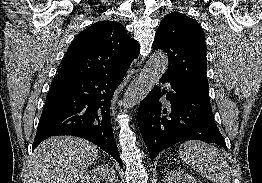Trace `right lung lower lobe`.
Here are the masks:
<instances>
[{
    "label": "right lung lower lobe",
    "mask_w": 262,
    "mask_h": 183,
    "mask_svg": "<svg viewBox=\"0 0 262 183\" xmlns=\"http://www.w3.org/2000/svg\"><path fill=\"white\" fill-rule=\"evenodd\" d=\"M126 72L54 80L46 97L33 149L48 137L73 135L95 143L122 166L111 125L110 104Z\"/></svg>",
    "instance_id": "98d812e1"
}]
</instances>
